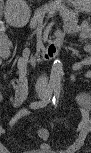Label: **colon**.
Instances as JSON below:
<instances>
[{
	"label": "colon",
	"instance_id": "1",
	"mask_svg": "<svg viewBox=\"0 0 91 153\" xmlns=\"http://www.w3.org/2000/svg\"><path fill=\"white\" fill-rule=\"evenodd\" d=\"M0 42L2 43V46L9 45L10 39L4 33H1V35H0Z\"/></svg>",
	"mask_w": 91,
	"mask_h": 153
}]
</instances>
